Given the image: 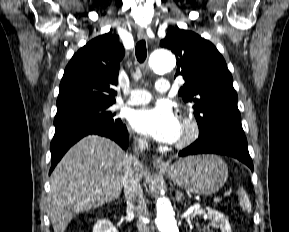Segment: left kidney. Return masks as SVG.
Here are the masks:
<instances>
[{
	"mask_svg": "<svg viewBox=\"0 0 289 232\" xmlns=\"http://www.w3.org/2000/svg\"><path fill=\"white\" fill-rule=\"evenodd\" d=\"M207 216L221 232H232L228 219L222 213L211 209L208 210Z\"/></svg>",
	"mask_w": 289,
	"mask_h": 232,
	"instance_id": "1",
	"label": "left kidney"
}]
</instances>
